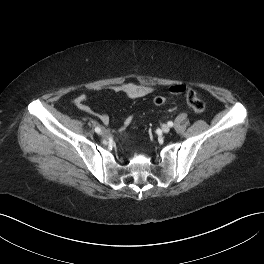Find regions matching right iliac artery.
<instances>
[{"label":"right iliac artery","mask_w":264,"mask_h":264,"mask_svg":"<svg viewBox=\"0 0 264 264\" xmlns=\"http://www.w3.org/2000/svg\"><path fill=\"white\" fill-rule=\"evenodd\" d=\"M95 132L100 133L101 132V128L100 127H96L95 128Z\"/></svg>","instance_id":"82829eb1"}]
</instances>
